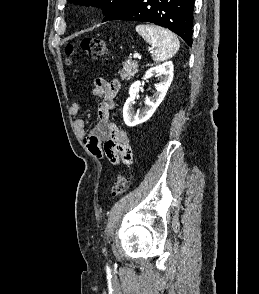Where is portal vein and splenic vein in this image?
<instances>
[{"label": "portal vein and splenic vein", "mask_w": 259, "mask_h": 294, "mask_svg": "<svg viewBox=\"0 0 259 294\" xmlns=\"http://www.w3.org/2000/svg\"><path fill=\"white\" fill-rule=\"evenodd\" d=\"M133 58H134V59H136V58H140V55H139L138 53H135V54L133 55Z\"/></svg>", "instance_id": "1"}]
</instances>
